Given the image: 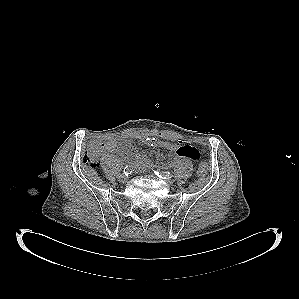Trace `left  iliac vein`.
<instances>
[{
    "label": "left iliac vein",
    "instance_id": "1",
    "mask_svg": "<svg viewBox=\"0 0 299 299\" xmlns=\"http://www.w3.org/2000/svg\"><path fill=\"white\" fill-rule=\"evenodd\" d=\"M165 182H166L168 185H172V184H173V180H172V179H165Z\"/></svg>",
    "mask_w": 299,
    "mask_h": 299
}]
</instances>
